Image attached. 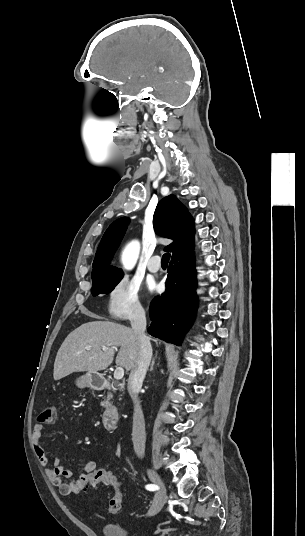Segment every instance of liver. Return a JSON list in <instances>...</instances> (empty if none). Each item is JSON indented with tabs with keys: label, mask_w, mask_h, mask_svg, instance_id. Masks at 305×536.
Listing matches in <instances>:
<instances>
[{
	"label": "liver",
	"mask_w": 305,
	"mask_h": 536,
	"mask_svg": "<svg viewBox=\"0 0 305 536\" xmlns=\"http://www.w3.org/2000/svg\"><path fill=\"white\" fill-rule=\"evenodd\" d=\"M86 346L91 350H84ZM118 346L117 366H122L127 372L133 370L139 358V342L134 330L113 322L82 324L60 346L54 362V380H61L73 372L106 370L112 364ZM102 348L108 350L103 352Z\"/></svg>",
	"instance_id": "obj_1"
}]
</instances>
